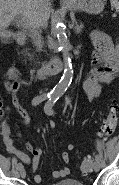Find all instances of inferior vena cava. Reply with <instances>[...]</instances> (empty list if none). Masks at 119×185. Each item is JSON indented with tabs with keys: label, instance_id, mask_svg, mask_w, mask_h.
I'll return each instance as SVG.
<instances>
[{
	"label": "inferior vena cava",
	"instance_id": "inferior-vena-cava-1",
	"mask_svg": "<svg viewBox=\"0 0 119 185\" xmlns=\"http://www.w3.org/2000/svg\"><path fill=\"white\" fill-rule=\"evenodd\" d=\"M42 1H43V0H42ZM41 27L46 28V27H47V22L43 23V24L41 25Z\"/></svg>",
	"mask_w": 119,
	"mask_h": 185
}]
</instances>
